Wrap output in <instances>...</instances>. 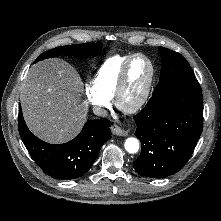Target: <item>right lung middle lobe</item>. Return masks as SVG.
Here are the masks:
<instances>
[{
  "mask_svg": "<svg viewBox=\"0 0 221 221\" xmlns=\"http://www.w3.org/2000/svg\"><path fill=\"white\" fill-rule=\"evenodd\" d=\"M101 51V43H84V44H74L68 46L56 47L50 51L42 53L37 59L36 62L56 57L59 55H70L77 57H87V56H96Z\"/></svg>",
  "mask_w": 221,
  "mask_h": 221,
  "instance_id": "dd1d6c3e",
  "label": "right lung middle lobe"
}]
</instances>
